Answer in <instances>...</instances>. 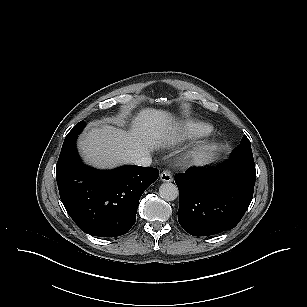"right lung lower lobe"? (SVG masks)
<instances>
[{
    "mask_svg": "<svg viewBox=\"0 0 307 307\" xmlns=\"http://www.w3.org/2000/svg\"><path fill=\"white\" fill-rule=\"evenodd\" d=\"M77 135L65 139L56 168L61 201L85 233L98 237L126 234L136 221L139 200L159 170L123 166L110 171L85 166L76 151Z\"/></svg>",
    "mask_w": 307,
    "mask_h": 307,
    "instance_id": "right-lung-lower-lobe-1",
    "label": "right lung lower lobe"
}]
</instances>
